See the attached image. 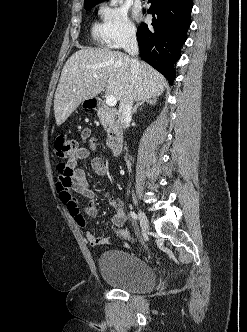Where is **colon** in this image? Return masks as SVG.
Here are the masks:
<instances>
[{"label":"colon","mask_w":247,"mask_h":332,"mask_svg":"<svg viewBox=\"0 0 247 332\" xmlns=\"http://www.w3.org/2000/svg\"><path fill=\"white\" fill-rule=\"evenodd\" d=\"M78 149V143L76 140L68 137L67 135L60 134L55 139V151L56 155L60 158L66 159L74 156ZM115 231L125 239L133 241V237L126 229L116 228Z\"/></svg>","instance_id":"1"}]
</instances>
